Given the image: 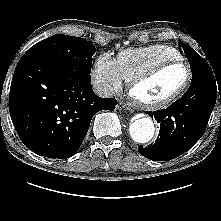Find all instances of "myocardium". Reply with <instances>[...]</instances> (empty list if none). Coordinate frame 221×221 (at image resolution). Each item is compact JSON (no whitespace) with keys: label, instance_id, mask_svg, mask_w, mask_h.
I'll list each match as a JSON object with an SVG mask.
<instances>
[{"label":"myocardium","instance_id":"myocardium-1","mask_svg":"<svg viewBox=\"0 0 221 221\" xmlns=\"http://www.w3.org/2000/svg\"><path fill=\"white\" fill-rule=\"evenodd\" d=\"M176 65L185 66L187 69L186 80L176 92L159 101H147L142 99L140 96L136 94V89L140 85L153 79L156 75H158L165 69ZM192 80H193V70L188 62L184 61L183 59L167 60L151 67L149 70L143 72L142 74L134 78L129 86V94L133 99V101L135 102V104L138 105L139 107L147 110H160L167 108L168 106L176 102L178 99H180L190 87Z\"/></svg>","mask_w":221,"mask_h":221}]
</instances>
